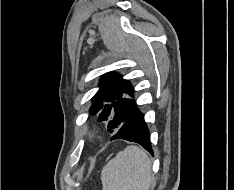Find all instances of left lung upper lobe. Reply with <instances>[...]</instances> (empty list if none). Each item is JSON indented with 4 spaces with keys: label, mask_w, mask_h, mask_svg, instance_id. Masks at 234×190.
<instances>
[{
    "label": "left lung upper lobe",
    "mask_w": 234,
    "mask_h": 190,
    "mask_svg": "<svg viewBox=\"0 0 234 190\" xmlns=\"http://www.w3.org/2000/svg\"><path fill=\"white\" fill-rule=\"evenodd\" d=\"M100 89L93 96L89 112L108 122V132L115 133L136 107L133 90L128 80L117 73H108L99 83Z\"/></svg>",
    "instance_id": "left-lung-upper-lobe-1"
}]
</instances>
